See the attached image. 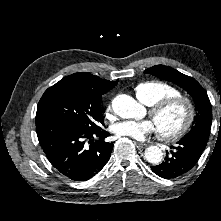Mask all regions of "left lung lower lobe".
Instances as JSON below:
<instances>
[{
	"label": "left lung lower lobe",
	"instance_id": "1",
	"mask_svg": "<svg viewBox=\"0 0 221 221\" xmlns=\"http://www.w3.org/2000/svg\"><path fill=\"white\" fill-rule=\"evenodd\" d=\"M209 131H198L185 135L178 141L177 147L165 157L160 165L152 166L151 170L158 176L171 179L183 176L198 162L209 138Z\"/></svg>",
	"mask_w": 221,
	"mask_h": 221
}]
</instances>
